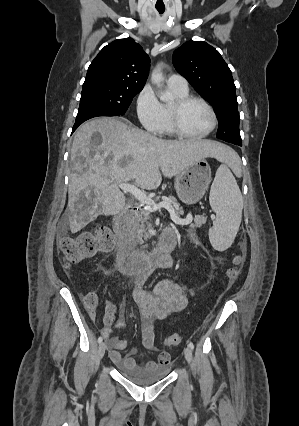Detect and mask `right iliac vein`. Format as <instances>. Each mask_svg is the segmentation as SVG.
I'll list each match as a JSON object with an SVG mask.
<instances>
[{
  "instance_id": "1",
  "label": "right iliac vein",
  "mask_w": 299,
  "mask_h": 426,
  "mask_svg": "<svg viewBox=\"0 0 299 426\" xmlns=\"http://www.w3.org/2000/svg\"><path fill=\"white\" fill-rule=\"evenodd\" d=\"M105 350H106V344L100 343V345L98 347V356H99L100 359L104 356Z\"/></svg>"
}]
</instances>
